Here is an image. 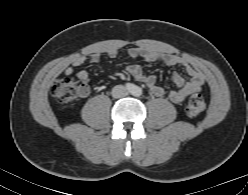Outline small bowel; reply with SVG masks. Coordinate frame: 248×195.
<instances>
[{
    "label": "small bowel",
    "instance_id": "c3829d8e",
    "mask_svg": "<svg viewBox=\"0 0 248 195\" xmlns=\"http://www.w3.org/2000/svg\"><path fill=\"white\" fill-rule=\"evenodd\" d=\"M107 54L110 57H115L117 55V50L116 49H110V50H108ZM129 54L132 57H136L138 55H141L143 60L145 62H148V63L162 62L168 66L181 65L185 68V71H186L187 75L189 76L188 80H185L179 74H173V76H172V80L176 85V89L169 92V99L173 103H181L191 94L199 92L205 83L204 74L200 70L196 69L193 66L186 64L176 55L167 54V53H159V52H155V51L140 52L134 48L129 50ZM101 56L102 55L100 53H94L90 56L77 57L73 60V62L70 66H67L65 68V73L71 74L74 70V67L81 66L87 60L97 62L101 59ZM127 72L129 74H131L138 81L145 83L147 85V87L149 88V90L155 96L160 97L164 94V92H165L164 88L157 84L156 79L153 75L146 74L141 65L131 64L128 66ZM77 77L82 82H87L88 78H89V74L85 70H79L77 72ZM88 93H89V88L87 86H85V88L81 94L84 96V95H87Z\"/></svg>",
    "mask_w": 248,
    "mask_h": 195
}]
</instances>
